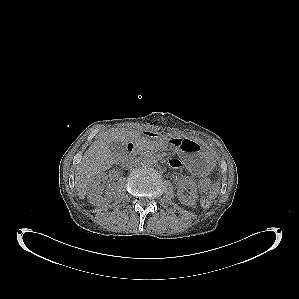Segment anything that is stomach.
<instances>
[{"mask_svg":"<svg viewBox=\"0 0 299 299\" xmlns=\"http://www.w3.org/2000/svg\"><path fill=\"white\" fill-rule=\"evenodd\" d=\"M165 143L182 154L186 166L196 173H205L211 165V156L198 141L185 137L165 136Z\"/></svg>","mask_w":299,"mask_h":299,"instance_id":"stomach-1","label":"stomach"}]
</instances>
